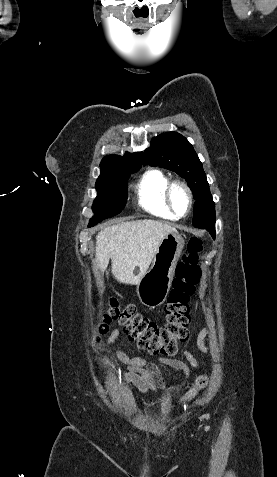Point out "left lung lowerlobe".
Returning <instances> with one entry per match:
<instances>
[{"instance_id": "1", "label": "left lung lower lobe", "mask_w": 277, "mask_h": 477, "mask_svg": "<svg viewBox=\"0 0 277 477\" xmlns=\"http://www.w3.org/2000/svg\"><path fill=\"white\" fill-rule=\"evenodd\" d=\"M201 228H205L215 238V223L203 225Z\"/></svg>"}]
</instances>
